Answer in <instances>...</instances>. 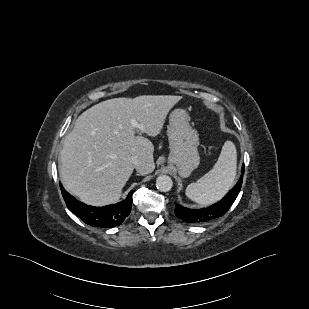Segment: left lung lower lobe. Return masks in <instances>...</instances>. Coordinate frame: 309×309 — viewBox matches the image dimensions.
<instances>
[{"label":"left lung lower lobe","mask_w":309,"mask_h":309,"mask_svg":"<svg viewBox=\"0 0 309 309\" xmlns=\"http://www.w3.org/2000/svg\"><path fill=\"white\" fill-rule=\"evenodd\" d=\"M242 175L240 176L237 184L233 189L218 203L202 209H189L179 204H175V214L178 218L188 224H204L208 223L218 217L223 216L234 203L237 198L239 191L242 186L244 164L241 170Z\"/></svg>","instance_id":"obj_1"}]
</instances>
